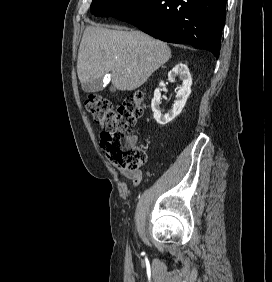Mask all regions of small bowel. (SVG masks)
Masks as SVG:
<instances>
[{
    "mask_svg": "<svg viewBox=\"0 0 272 282\" xmlns=\"http://www.w3.org/2000/svg\"><path fill=\"white\" fill-rule=\"evenodd\" d=\"M133 142H136L137 138L133 137ZM119 173L127 180H132L135 186L139 185L143 179V175L139 170L131 169H119Z\"/></svg>",
    "mask_w": 272,
    "mask_h": 282,
    "instance_id": "c3829d8e",
    "label": "small bowel"
}]
</instances>
